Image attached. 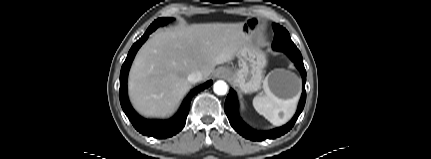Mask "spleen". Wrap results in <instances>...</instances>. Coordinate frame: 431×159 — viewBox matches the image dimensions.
<instances>
[{
    "label": "spleen",
    "mask_w": 431,
    "mask_h": 159,
    "mask_svg": "<svg viewBox=\"0 0 431 159\" xmlns=\"http://www.w3.org/2000/svg\"><path fill=\"white\" fill-rule=\"evenodd\" d=\"M263 89L264 93H260L253 99L255 110L273 125L285 124L296 111L299 95L291 99H280L269 90L266 81L263 83Z\"/></svg>",
    "instance_id": "spleen-1"
}]
</instances>
